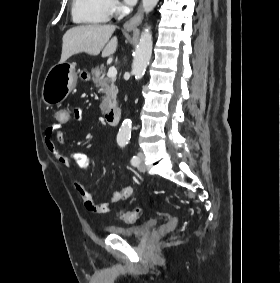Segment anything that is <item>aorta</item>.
<instances>
[{"label": "aorta", "instance_id": "obj_1", "mask_svg": "<svg viewBox=\"0 0 280 283\" xmlns=\"http://www.w3.org/2000/svg\"><path fill=\"white\" fill-rule=\"evenodd\" d=\"M159 0H142L145 13L151 12ZM152 34L149 28H146L140 37L135 56L132 63V73L136 80L142 79L149 64L152 54ZM131 120H124L117 134L118 144H125L131 135Z\"/></svg>", "mask_w": 280, "mask_h": 283}]
</instances>
